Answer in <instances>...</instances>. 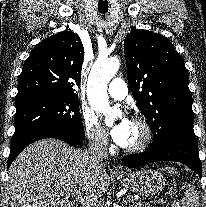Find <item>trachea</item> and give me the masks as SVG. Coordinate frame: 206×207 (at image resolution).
Here are the masks:
<instances>
[{
	"mask_svg": "<svg viewBox=\"0 0 206 207\" xmlns=\"http://www.w3.org/2000/svg\"><path fill=\"white\" fill-rule=\"evenodd\" d=\"M99 12H100L101 14H106V11H101V10H99Z\"/></svg>",
	"mask_w": 206,
	"mask_h": 207,
	"instance_id": "3493384b",
	"label": "trachea"
}]
</instances>
